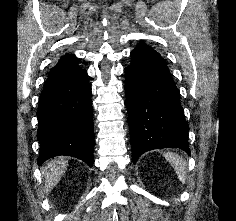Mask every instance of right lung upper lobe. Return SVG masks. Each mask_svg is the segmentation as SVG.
Instances as JSON below:
<instances>
[{"label":"right lung upper lobe","mask_w":236,"mask_h":221,"mask_svg":"<svg viewBox=\"0 0 236 221\" xmlns=\"http://www.w3.org/2000/svg\"><path fill=\"white\" fill-rule=\"evenodd\" d=\"M66 56H69V54H66L65 56H63V57H66Z\"/></svg>","instance_id":"obj_1"}]
</instances>
